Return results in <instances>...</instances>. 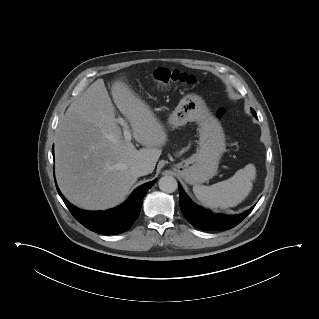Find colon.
Here are the masks:
<instances>
[{"mask_svg": "<svg viewBox=\"0 0 319 319\" xmlns=\"http://www.w3.org/2000/svg\"><path fill=\"white\" fill-rule=\"evenodd\" d=\"M153 78L156 86L161 90H171L178 87L180 84H193L195 82L193 76L167 68L157 69ZM225 113V108H219L217 110V117L223 118Z\"/></svg>", "mask_w": 319, "mask_h": 319, "instance_id": "5ec220e1", "label": "colon"}]
</instances>
